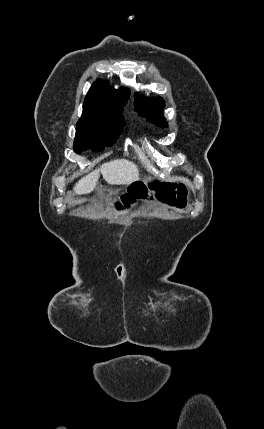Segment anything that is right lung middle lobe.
<instances>
[{
  "label": "right lung middle lobe",
  "mask_w": 264,
  "mask_h": 429,
  "mask_svg": "<svg viewBox=\"0 0 264 429\" xmlns=\"http://www.w3.org/2000/svg\"><path fill=\"white\" fill-rule=\"evenodd\" d=\"M122 111L123 106L83 105V114L76 127L74 151H102L113 145L124 125Z\"/></svg>",
  "instance_id": "right-lung-middle-lobe-1"
}]
</instances>
